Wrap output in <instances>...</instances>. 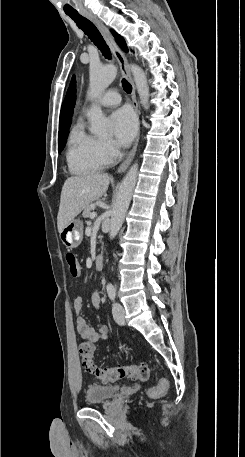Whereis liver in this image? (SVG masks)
<instances>
[{"label": "liver", "instance_id": "1", "mask_svg": "<svg viewBox=\"0 0 245 457\" xmlns=\"http://www.w3.org/2000/svg\"><path fill=\"white\" fill-rule=\"evenodd\" d=\"M109 178L107 172H90V174L69 176L65 180L57 216L59 233L85 208L86 204L97 200L106 192Z\"/></svg>", "mask_w": 245, "mask_h": 457}]
</instances>
